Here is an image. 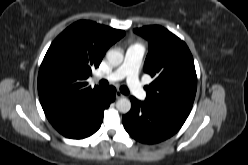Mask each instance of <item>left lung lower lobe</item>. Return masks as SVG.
Instances as JSON below:
<instances>
[{"mask_svg":"<svg viewBox=\"0 0 248 165\" xmlns=\"http://www.w3.org/2000/svg\"><path fill=\"white\" fill-rule=\"evenodd\" d=\"M131 110L122 117L125 130L139 142L154 144L173 136L184 124V116L134 97Z\"/></svg>","mask_w":248,"mask_h":165,"instance_id":"left-lung-lower-lobe-1","label":"left lung lower lobe"}]
</instances>
